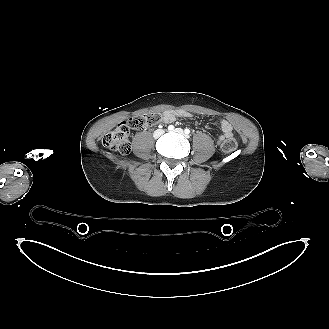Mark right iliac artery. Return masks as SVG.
I'll return each mask as SVG.
<instances>
[{
  "mask_svg": "<svg viewBox=\"0 0 329 329\" xmlns=\"http://www.w3.org/2000/svg\"><path fill=\"white\" fill-rule=\"evenodd\" d=\"M174 128H175V127H174L173 125H169V126H168V130H174Z\"/></svg>",
  "mask_w": 329,
  "mask_h": 329,
  "instance_id": "obj_1",
  "label": "right iliac artery"
}]
</instances>
